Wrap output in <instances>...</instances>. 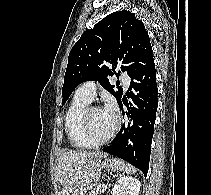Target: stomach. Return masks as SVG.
Returning a JSON list of instances; mask_svg holds the SVG:
<instances>
[{"mask_svg": "<svg viewBox=\"0 0 211 195\" xmlns=\"http://www.w3.org/2000/svg\"><path fill=\"white\" fill-rule=\"evenodd\" d=\"M101 168H104L105 170L108 171H120L125 168V162L116 158H107L104 159L102 162H100L99 165L95 168V170L91 172V174L88 177V182L91 188H93V186H95L99 181L101 177ZM85 193L86 192H83L80 195H85Z\"/></svg>", "mask_w": 211, "mask_h": 195, "instance_id": "0dacf381", "label": "stomach"}]
</instances>
